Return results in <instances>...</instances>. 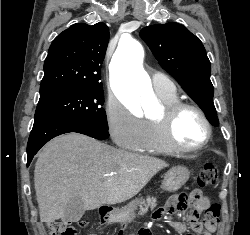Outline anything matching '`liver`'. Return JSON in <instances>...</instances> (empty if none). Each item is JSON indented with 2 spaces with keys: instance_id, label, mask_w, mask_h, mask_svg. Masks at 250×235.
Masks as SVG:
<instances>
[{
  "instance_id": "liver-1",
  "label": "liver",
  "mask_w": 250,
  "mask_h": 235,
  "mask_svg": "<svg viewBox=\"0 0 250 235\" xmlns=\"http://www.w3.org/2000/svg\"><path fill=\"white\" fill-rule=\"evenodd\" d=\"M168 164L68 133L47 143L34 170V186L42 222L62 218L73 198L85 210L124 202L137 195Z\"/></svg>"
}]
</instances>
